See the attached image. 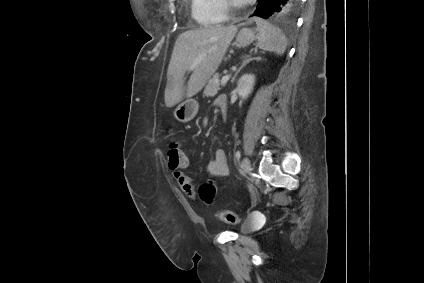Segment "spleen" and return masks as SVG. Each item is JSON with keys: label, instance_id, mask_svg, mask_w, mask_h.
<instances>
[{"label": "spleen", "instance_id": "1", "mask_svg": "<svg viewBox=\"0 0 424 283\" xmlns=\"http://www.w3.org/2000/svg\"><path fill=\"white\" fill-rule=\"evenodd\" d=\"M258 46L264 51L282 55L286 51L287 39L281 30L264 20H257Z\"/></svg>", "mask_w": 424, "mask_h": 283}]
</instances>
